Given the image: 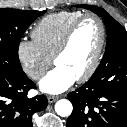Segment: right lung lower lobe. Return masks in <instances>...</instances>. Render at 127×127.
<instances>
[{"label": "right lung lower lobe", "instance_id": "98d812e1", "mask_svg": "<svg viewBox=\"0 0 127 127\" xmlns=\"http://www.w3.org/2000/svg\"><path fill=\"white\" fill-rule=\"evenodd\" d=\"M36 85L24 72H15L0 64V127H33L32 115L46 108V96L28 98Z\"/></svg>", "mask_w": 127, "mask_h": 127}]
</instances>
